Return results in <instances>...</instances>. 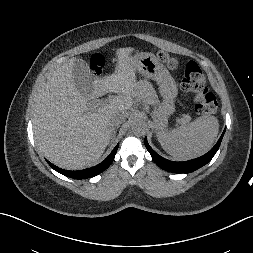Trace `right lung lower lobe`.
Here are the masks:
<instances>
[{
  "label": "right lung lower lobe",
  "instance_id": "right-lung-lower-lobe-1",
  "mask_svg": "<svg viewBox=\"0 0 253 253\" xmlns=\"http://www.w3.org/2000/svg\"><path fill=\"white\" fill-rule=\"evenodd\" d=\"M118 146H119V144H117V146L113 149V151L110 153V155L103 162H101L97 166H94V167L88 168V169H84V170L68 171V170H64V169H61V168L53 165L52 163H50L47 160L46 161L54 170H56L57 172L65 175V176L75 178V179L91 178L93 176L100 174L101 172H103L105 169H107L110 166V164L114 160Z\"/></svg>",
  "mask_w": 253,
  "mask_h": 253
}]
</instances>
